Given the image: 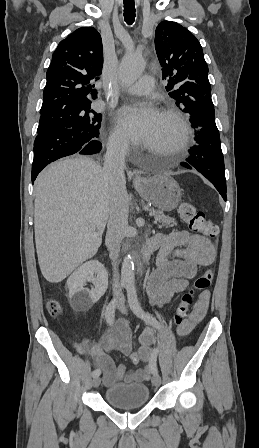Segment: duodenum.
Masks as SVG:
<instances>
[{"label": "duodenum", "mask_w": 259, "mask_h": 448, "mask_svg": "<svg viewBox=\"0 0 259 448\" xmlns=\"http://www.w3.org/2000/svg\"><path fill=\"white\" fill-rule=\"evenodd\" d=\"M157 250V245L153 242V241H148L142 250V256H141V261H140V265L143 266L147 263V261L149 260L150 256L152 255V253Z\"/></svg>", "instance_id": "1"}]
</instances>
